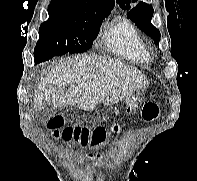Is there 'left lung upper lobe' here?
Masks as SVG:
<instances>
[{"instance_id":"1","label":"left lung upper lobe","mask_w":197,"mask_h":181,"mask_svg":"<svg viewBox=\"0 0 197 181\" xmlns=\"http://www.w3.org/2000/svg\"><path fill=\"white\" fill-rule=\"evenodd\" d=\"M120 8L128 10L127 17L130 18L139 29L147 35L155 39V43L159 44L160 31L151 24L154 9L151 5L139 2L135 7H131V3L137 0H116Z\"/></svg>"}]
</instances>
